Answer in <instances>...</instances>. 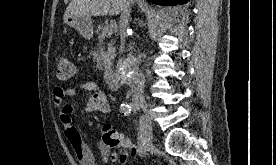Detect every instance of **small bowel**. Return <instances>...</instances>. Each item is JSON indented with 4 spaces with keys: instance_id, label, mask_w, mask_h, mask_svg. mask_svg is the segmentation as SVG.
Segmentation results:
<instances>
[{
    "instance_id": "small-bowel-1",
    "label": "small bowel",
    "mask_w": 276,
    "mask_h": 165,
    "mask_svg": "<svg viewBox=\"0 0 276 165\" xmlns=\"http://www.w3.org/2000/svg\"><path fill=\"white\" fill-rule=\"evenodd\" d=\"M79 91H84L88 96L86 111L89 113L109 114L110 104L101 90L100 85L94 80H86L70 87L57 86L52 92V101L59 112V122L61 124L64 137L73 149L81 165H98V161L93 148L85 143L77 128L72 124V114L74 105L67 102V99L75 97ZM102 161L110 165H125L128 153L119 150L111 151V147L103 141L96 144Z\"/></svg>"
}]
</instances>
